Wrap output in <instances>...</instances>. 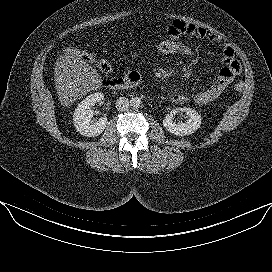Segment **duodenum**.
Instances as JSON below:
<instances>
[{
	"instance_id": "410a0bca",
	"label": "duodenum",
	"mask_w": 272,
	"mask_h": 272,
	"mask_svg": "<svg viewBox=\"0 0 272 272\" xmlns=\"http://www.w3.org/2000/svg\"><path fill=\"white\" fill-rule=\"evenodd\" d=\"M139 80L138 74L129 73L124 77L106 80L104 85L111 90H123L136 85Z\"/></svg>"
}]
</instances>
